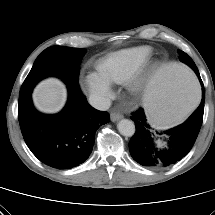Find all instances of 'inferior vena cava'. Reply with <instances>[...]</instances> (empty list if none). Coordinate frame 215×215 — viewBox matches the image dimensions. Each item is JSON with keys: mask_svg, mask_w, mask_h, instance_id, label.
I'll return each instance as SVG.
<instances>
[{"mask_svg": "<svg viewBox=\"0 0 215 215\" xmlns=\"http://www.w3.org/2000/svg\"><path fill=\"white\" fill-rule=\"evenodd\" d=\"M89 103L96 109L105 111L108 110L111 105V100L104 96L91 95L89 97Z\"/></svg>", "mask_w": 215, "mask_h": 215, "instance_id": "1", "label": "inferior vena cava"}]
</instances>
